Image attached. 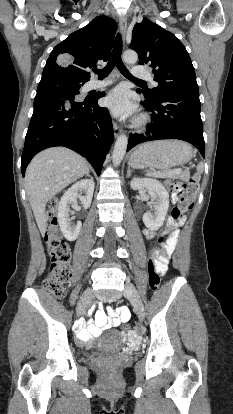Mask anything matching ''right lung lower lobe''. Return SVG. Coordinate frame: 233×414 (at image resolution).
Returning a JSON list of instances; mask_svg holds the SVG:
<instances>
[{"label": "right lung lower lobe", "instance_id": "1", "mask_svg": "<svg viewBox=\"0 0 233 414\" xmlns=\"http://www.w3.org/2000/svg\"><path fill=\"white\" fill-rule=\"evenodd\" d=\"M104 95L99 93L78 100L52 92L37 93L22 153V175L38 152L53 146H65L76 151L100 175L114 139L109 111L97 103Z\"/></svg>", "mask_w": 233, "mask_h": 414}]
</instances>
